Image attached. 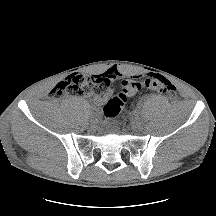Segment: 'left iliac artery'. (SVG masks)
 <instances>
[{"label":"left iliac artery","mask_w":216,"mask_h":216,"mask_svg":"<svg viewBox=\"0 0 216 216\" xmlns=\"http://www.w3.org/2000/svg\"><path fill=\"white\" fill-rule=\"evenodd\" d=\"M136 113H140V107H137V109L135 110Z\"/></svg>","instance_id":"left-iliac-artery-1"}]
</instances>
